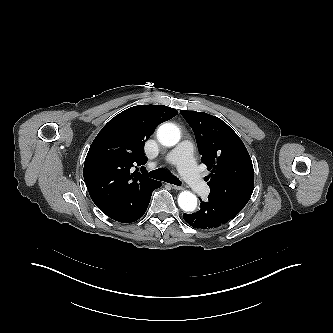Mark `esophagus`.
<instances>
[{
	"mask_svg": "<svg viewBox=\"0 0 333 333\" xmlns=\"http://www.w3.org/2000/svg\"><path fill=\"white\" fill-rule=\"evenodd\" d=\"M169 185L174 190H182L183 189V187H181V186H177V185H174V184H169Z\"/></svg>",
	"mask_w": 333,
	"mask_h": 333,
	"instance_id": "obj_1",
	"label": "esophagus"
}]
</instances>
